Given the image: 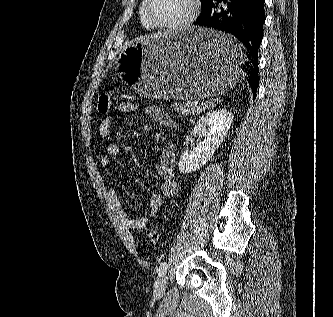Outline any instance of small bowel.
<instances>
[{
  "label": "small bowel",
  "mask_w": 333,
  "mask_h": 317,
  "mask_svg": "<svg viewBox=\"0 0 333 317\" xmlns=\"http://www.w3.org/2000/svg\"><path fill=\"white\" fill-rule=\"evenodd\" d=\"M119 111L130 113L137 109V105L130 101L121 102L118 106ZM145 113L156 123L167 128H173L174 122L170 115L165 111L156 107H147ZM114 121L111 117L104 118L98 126V136L104 140L110 134ZM119 146L111 143L107 146L105 152L100 158L101 165L104 168H109L112 158L119 154ZM175 167V146L168 144L162 151L160 159L155 164V170L162 179L161 192L154 193L150 196L148 202V213L139 218L129 217L127 211L123 207L116 190L109 188L108 193L115 211L123 222V224L132 230H141L146 228L156 216L158 211L163 207L166 198L174 197L178 192V184L174 175Z\"/></svg>",
  "instance_id": "c3829d8e"
}]
</instances>
